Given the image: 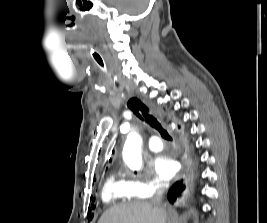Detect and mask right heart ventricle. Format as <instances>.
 I'll list each match as a JSON object with an SVG mask.
<instances>
[{"label":"right heart ventricle","mask_w":267,"mask_h":223,"mask_svg":"<svg viewBox=\"0 0 267 223\" xmlns=\"http://www.w3.org/2000/svg\"><path fill=\"white\" fill-rule=\"evenodd\" d=\"M132 196L134 195L131 192L129 181L120 172L111 174L102 190L103 201L112 205L131 199Z\"/></svg>","instance_id":"e07e8e85"}]
</instances>
